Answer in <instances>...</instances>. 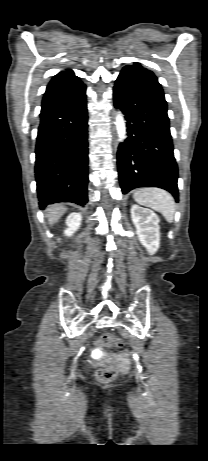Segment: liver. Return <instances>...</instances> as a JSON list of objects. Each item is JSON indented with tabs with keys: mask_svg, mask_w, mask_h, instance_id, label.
<instances>
[{
	"mask_svg": "<svg viewBox=\"0 0 208 461\" xmlns=\"http://www.w3.org/2000/svg\"><path fill=\"white\" fill-rule=\"evenodd\" d=\"M67 208L63 205H56L46 210V217L50 226L54 225L59 218L66 212Z\"/></svg>",
	"mask_w": 208,
	"mask_h": 461,
	"instance_id": "6515ba94",
	"label": "liver"
}]
</instances>
